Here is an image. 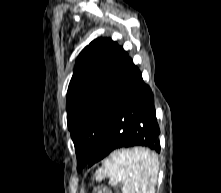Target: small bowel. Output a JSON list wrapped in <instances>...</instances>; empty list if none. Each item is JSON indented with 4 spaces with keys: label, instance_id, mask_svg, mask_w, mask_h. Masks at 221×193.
I'll return each instance as SVG.
<instances>
[{
    "label": "small bowel",
    "instance_id": "c3829d8e",
    "mask_svg": "<svg viewBox=\"0 0 221 193\" xmlns=\"http://www.w3.org/2000/svg\"><path fill=\"white\" fill-rule=\"evenodd\" d=\"M105 189H106V193H112L108 188H105Z\"/></svg>",
    "mask_w": 221,
    "mask_h": 193
}]
</instances>
